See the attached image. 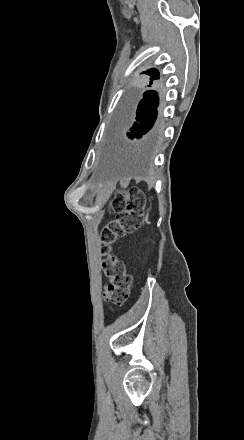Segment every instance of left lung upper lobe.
Here are the masks:
<instances>
[{"label":"left lung upper lobe","instance_id":"left-lung-upper-lobe-1","mask_svg":"<svg viewBox=\"0 0 244 440\" xmlns=\"http://www.w3.org/2000/svg\"><path fill=\"white\" fill-rule=\"evenodd\" d=\"M143 73L151 76V80L149 82V85H152L154 80L159 79V72L156 69H150V70L143 72Z\"/></svg>","mask_w":244,"mask_h":440}]
</instances>
